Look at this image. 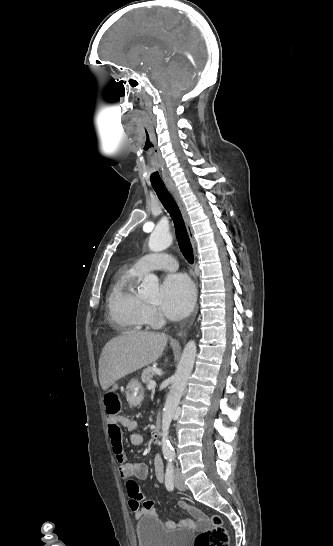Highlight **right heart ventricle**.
<instances>
[{"label": "right heart ventricle", "instance_id": "obj_1", "mask_svg": "<svg viewBox=\"0 0 333 546\" xmlns=\"http://www.w3.org/2000/svg\"><path fill=\"white\" fill-rule=\"evenodd\" d=\"M141 275L134 267L121 271L108 295L109 319L112 324L126 331H140L147 324L142 312L144 302L135 290Z\"/></svg>", "mask_w": 333, "mask_h": 546}]
</instances>
